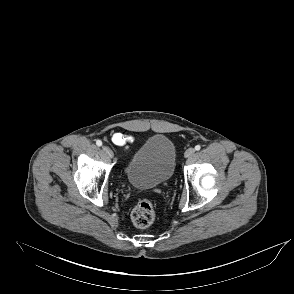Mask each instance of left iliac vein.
Returning a JSON list of instances; mask_svg holds the SVG:
<instances>
[{
	"label": "left iliac vein",
	"mask_w": 294,
	"mask_h": 294,
	"mask_svg": "<svg viewBox=\"0 0 294 294\" xmlns=\"http://www.w3.org/2000/svg\"><path fill=\"white\" fill-rule=\"evenodd\" d=\"M195 153V149L194 148H188L185 152V157L188 158V157H191L192 155H194Z\"/></svg>",
	"instance_id": "left-iliac-vein-1"
}]
</instances>
